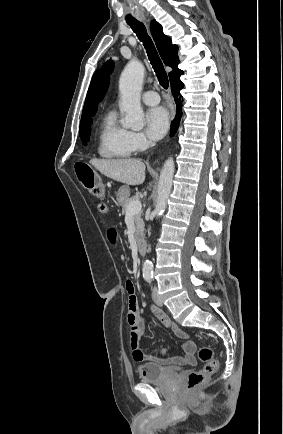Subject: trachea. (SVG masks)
<instances>
[{"mask_svg": "<svg viewBox=\"0 0 283 434\" xmlns=\"http://www.w3.org/2000/svg\"><path fill=\"white\" fill-rule=\"evenodd\" d=\"M128 25L136 33L139 40L143 42L148 58L154 69V72L156 73L160 85L164 89H167L169 85L167 73L164 69L163 63L157 53L152 39L147 34L146 27L143 23L139 21L128 23Z\"/></svg>", "mask_w": 283, "mask_h": 434, "instance_id": "1", "label": "trachea"}]
</instances>
